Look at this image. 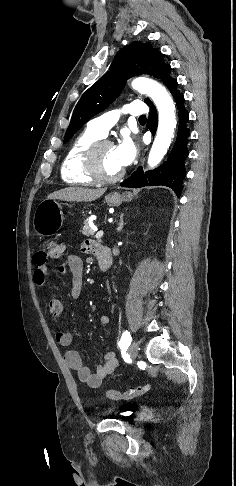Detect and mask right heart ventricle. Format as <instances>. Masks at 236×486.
Wrapping results in <instances>:
<instances>
[{
  "mask_svg": "<svg viewBox=\"0 0 236 486\" xmlns=\"http://www.w3.org/2000/svg\"><path fill=\"white\" fill-rule=\"evenodd\" d=\"M102 137L89 128L80 133L70 144L61 164V178L70 185L89 186L95 182L84 171V154L88 147Z\"/></svg>",
  "mask_w": 236,
  "mask_h": 486,
  "instance_id": "obj_1",
  "label": "right heart ventricle"
}]
</instances>
